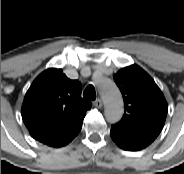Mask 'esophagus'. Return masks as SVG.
I'll return each instance as SVG.
<instances>
[{
  "label": "esophagus",
  "instance_id": "esophagus-1",
  "mask_svg": "<svg viewBox=\"0 0 184 174\" xmlns=\"http://www.w3.org/2000/svg\"><path fill=\"white\" fill-rule=\"evenodd\" d=\"M94 106L97 107V108H101L103 106V102L100 98L96 99L94 102H93Z\"/></svg>",
  "mask_w": 184,
  "mask_h": 174
}]
</instances>
